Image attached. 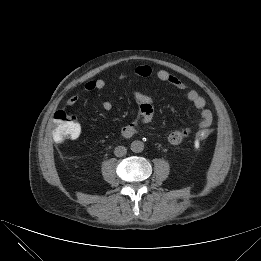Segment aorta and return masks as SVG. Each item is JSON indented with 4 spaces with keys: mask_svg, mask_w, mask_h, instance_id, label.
I'll list each match as a JSON object with an SVG mask.
<instances>
[{
    "mask_svg": "<svg viewBox=\"0 0 261 261\" xmlns=\"http://www.w3.org/2000/svg\"><path fill=\"white\" fill-rule=\"evenodd\" d=\"M130 149L134 153H140L144 150V143L140 140H135L131 143Z\"/></svg>",
    "mask_w": 261,
    "mask_h": 261,
    "instance_id": "762f6f07",
    "label": "aorta"
}]
</instances>
